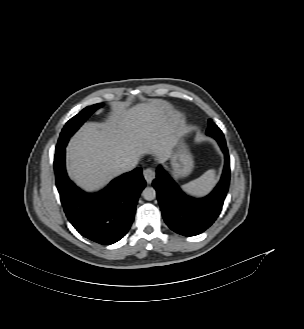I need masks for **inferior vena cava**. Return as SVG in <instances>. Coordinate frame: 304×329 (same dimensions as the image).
<instances>
[{
	"label": "inferior vena cava",
	"mask_w": 304,
	"mask_h": 329,
	"mask_svg": "<svg viewBox=\"0 0 304 329\" xmlns=\"http://www.w3.org/2000/svg\"><path fill=\"white\" fill-rule=\"evenodd\" d=\"M136 164H137L136 159H126L123 162H121L118 167L121 171H129L133 169L136 166Z\"/></svg>",
	"instance_id": "602c4592"
}]
</instances>
